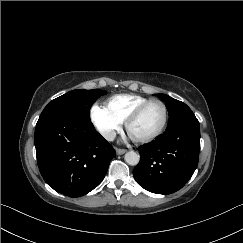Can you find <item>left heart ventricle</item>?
<instances>
[{"instance_id":"b2bd125f","label":"left heart ventricle","mask_w":243,"mask_h":243,"mask_svg":"<svg viewBox=\"0 0 243 243\" xmlns=\"http://www.w3.org/2000/svg\"><path fill=\"white\" fill-rule=\"evenodd\" d=\"M164 111L159 103L149 105L142 115L131 124L129 133L134 139H142L150 136L161 126Z\"/></svg>"}]
</instances>
